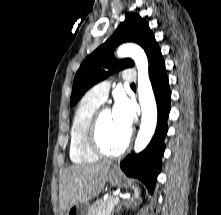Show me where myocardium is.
<instances>
[{"mask_svg":"<svg viewBox=\"0 0 221 215\" xmlns=\"http://www.w3.org/2000/svg\"><path fill=\"white\" fill-rule=\"evenodd\" d=\"M109 110L110 109L107 107H101L98 108L97 111L94 113L88 128L87 143L90 150L98 157L118 158L123 156L130 149L132 138L129 135L124 146L120 150L115 152H110L103 147L100 140V122L103 114Z\"/></svg>","mask_w":221,"mask_h":215,"instance_id":"f54148a6","label":"myocardium"}]
</instances>
